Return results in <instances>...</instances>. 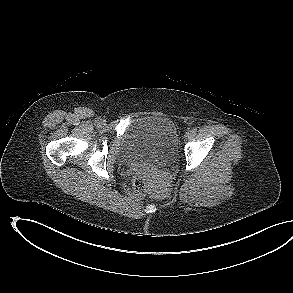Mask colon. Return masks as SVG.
I'll return each mask as SVG.
<instances>
[{"label":"colon","instance_id":"1","mask_svg":"<svg viewBox=\"0 0 293 293\" xmlns=\"http://www.w3.org/2000/svg\"><path fill=\"white\" fill-rule=\"evenodd\" d=\"M133 188L138 195H144L152 189L150 176L143 172H138L133 178Z\"/></svg>","mask_w":293,"mask_h":293}]
</instances>
